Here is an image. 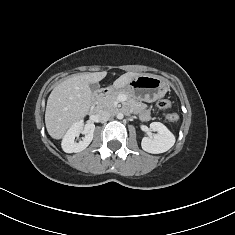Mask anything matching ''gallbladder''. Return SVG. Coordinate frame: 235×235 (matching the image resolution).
Wrapping results in <instances>:
<instances>
[{"label":"gallbladder","instance_id":"bac80fb5","mask_svg":"<svg viewBox=\"0 0 235 235\" xmlns=\"http://www.w3.org/2000/svg\"><path fill=\"white\" fill-rule=\"evenodd\" d=\"M89 87L91 91L95 92L99 88V85L97 83H91Z\"/></svg>","mask_w":235,"mask_h":235}]
</instances>
